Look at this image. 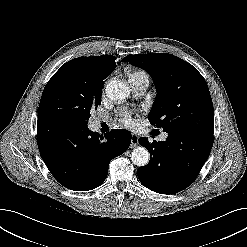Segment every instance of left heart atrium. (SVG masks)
<instances>
[{
  "mask_svg": "<svg viewBox=\"0 0 247 247\" xmlns=\"http://www.w3.org/2000/svg\"><path fill=\"white\" fill-rule=\"evenodd\" d=\"M120 122L125 126H133L134 120L132 118V114L130 112H122L120 115Z\"/></svg>",
  "mask_w": 247,
  "mask_h": 247,
  "instance_id": "obj_1",
  "label": "left heart atrium"
}]
</instances>
